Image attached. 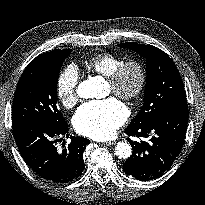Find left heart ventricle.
Returning <instances> with one entry per match:
<instances>
[{"instance_id": "1", "label": "left heart ventricle", "mask_w": 205, "mask_h": 205, "mask_svg": "<svg viewBox=\"0 0 205 205\" xmlns=\"http://www.w3.org/2000/svg\"><path fill=\"white\" fill-rule=\"evenodd\" d=\"M136 82H137L136 71L134 69H129L125 76L124 87L126 89H132L134 88ZM109 90L111 91L110 86H109Z\"/></svg>"}]
</instances>
